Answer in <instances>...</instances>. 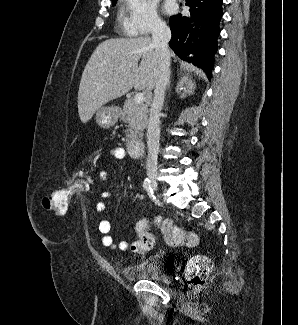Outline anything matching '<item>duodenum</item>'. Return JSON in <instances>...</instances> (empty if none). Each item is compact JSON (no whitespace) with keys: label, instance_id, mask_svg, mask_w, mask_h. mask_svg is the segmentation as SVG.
<instances>
[{"label":"duodenum","instance_id":"1","mask_svg":"<svg viewBox=\"0 0 298 325\" xmlns=\"http://www.w3.org/2000/svg\"><path fill=\"white\" fill-rule=\"evenodd\" d=\"M145 144L141 140H135L129 143L128 150L132 157H139L143 154Z\"/></svg>","mask_w":298,"mask_h":325}]
</instances>
